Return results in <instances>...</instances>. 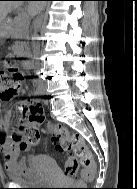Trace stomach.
<instances>
[{"label": "stomach", "mask_w": 137, "mask_h": 189, "mask_svg": "<svg viewBox=\"0 0 137 189\" xmlns=\"http://www.w3.org/2000/svg\"><path fill=\"white\" fill-rule=\"evenodd\" d=\"M10 35V30L5 26H0V38H7Z\"/></svg>", "instance_id": "stomach-1"}]
</instances>
